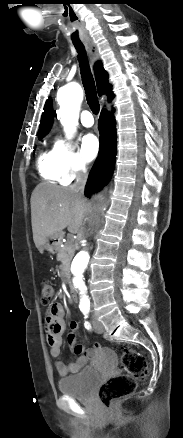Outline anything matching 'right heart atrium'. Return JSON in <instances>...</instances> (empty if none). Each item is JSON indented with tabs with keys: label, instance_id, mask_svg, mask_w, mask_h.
<instances>
[{
	"label": "right heart atrium",
	"instance_id": "right-heart-atrium-1",
	"mask_svg": "<svg viewBox=\"0 0 183 438\" xmlns=\"http://www.w3.org/2000/svg\"><path fill=\"white\" fill-rule=\"evenodd\" d=\"M56 170L60 180L68 183L86 170L82 155L69 147L63 140L55 143Z\"/></svg>",
	"mask_w": 183,
	"mask_h": 438
}]
</instances>
